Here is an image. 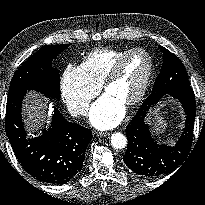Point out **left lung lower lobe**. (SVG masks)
Segmentation results:
<instances>
[{"instance_id": "1", "label": "left lung lower lobe", "mask_w": 205, "mask_h": 205, "mask_svg": "<svg viewBox=\"0 0 205 205\" xmlns=\"http://www.w3.org/2000/svg\"><path fill=\"white\" fill-rule=\"evenodd\" d=\"M177 98L186 114V127L174 147L160 145L152 138L145 118L156 103L145 100L126 126L128 148L123 157L124 163L134 173L144 177H157L173 172L186 158L193 137L196 104L191 88L177 89L169 93Z\"/></svg>"}]
</instances>
